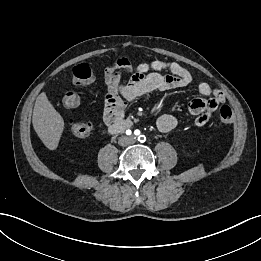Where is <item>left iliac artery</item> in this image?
Wrapping results in <instances>:
<instances>
[{"instance_id": "1", "label": "left iliac artery", "mask_w": 261, "mask_h": 261, "mask_svg": "<svg viewBox=\"0 0 261 261\" xmlns=\"http://www.w3.org/2000/svg\"><path fill=\"white\" fill-rule=\"evenodd\" d=\"M135 134H136V135H139V134H140V131H139V130H135ZM138 140H139L140 142H144V141L146 140V137H145L144 135H140V136L138 137Z\"/></svg>"}]
</instances>
